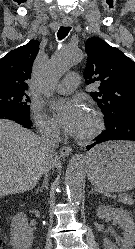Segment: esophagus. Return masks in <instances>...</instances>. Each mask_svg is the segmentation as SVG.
I'll return each instance as SVG.
<instances>
[{"label": "esophagus", "mask_w": 135, "mask_h": 249, "mask_svg": "<svg viewBox=\"0 0 135 249\" xmlns=\"http://www.w3.org/2000/svg\"><path fill=\"white\" fill-rule=\"evenodd\" d=\"M71 23H72L71 20H68V19L62 20V24H63L64 26H69V25H71ZM71 152H72V149H71V147H69V146H63V147L60 149V154H61L62 156H69V155L71 154Z\"/></svg>", "instance_id": "esophagus-1"}]
</instances>
